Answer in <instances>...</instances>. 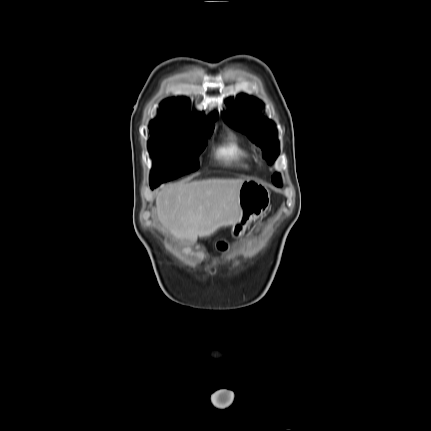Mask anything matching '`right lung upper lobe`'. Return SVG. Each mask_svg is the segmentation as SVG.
Instances as JSON below:
<instances>
[{
	"label": "right lung upper lobe",
	"instance_id": "obj_1",
	"mask_svg": "<svg viewBox=\"0 0 431 431\" xmlns=\"http://www.w3.org/2000/svg\"><path fill=\"white\" fill-rule=\"evenodd\" d=\"M162 113L160 117L154 119L152 125H164L170 127L183 128L188 130H201L197 124L198 114L191 113L188 102L183 98H170L163 102ZM218 118L217 113H213L207 117L205 124L202 127L206 129L213 126V120Z\"/></svg>",
	"mask_w": 431,
	"mask_h": 431
}]
</instances>
